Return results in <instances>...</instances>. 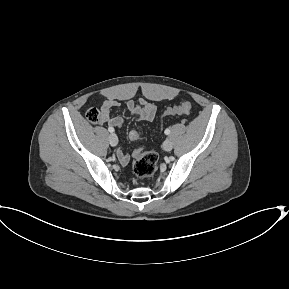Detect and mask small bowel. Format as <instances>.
I'll return each mask as SVG.
<instances>
[{
    "instance_id": "c3829d8e",
    "label": "small bowel",
    "mask_w": 289,
    "mask_h": 289,
    "mask_svg": "<svg viewBox=\"0 0 289 289\" xmlns=\"http://www.w3.org/2000/svg\"><path fill=\"white\" fill-rule=\"evenodd\" d=\"M119 105L120 103L117 100H105L100 109L104 115L102 122H107V124L112 128H120L123 124V119L120 116H110L111 110ZM126 106L136 119L142 121H152L157 112L156 105L145 100H141L138 103L130 100L127 102ZM116 154L122 165L128 164L130 157L127 153L121 149H118Z\"/></svg>"
}]
</instances>
